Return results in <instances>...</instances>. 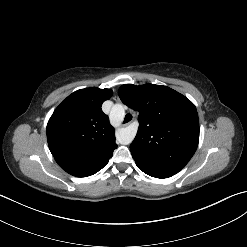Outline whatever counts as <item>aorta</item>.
<instances>
[{"instance_id": "1", "label": "aorta", "mask_w": 247, "mask_h": 247, "mask_svg": "<svg viewBox=\"0 0 247 247\" xmlns=\"http://www.w3.org/2000/svg\"><path fill=\"white\" fill-rule=\"evenodd\" d=\"M124 116H125L124 106L121 104L113 105L110 112L111 119L114 122H121L123 121ZM136 132H137V127L134 125L120 128L117 132V140L120 144L128 145L135 138Z\"/></svg>"}]
</instances>
